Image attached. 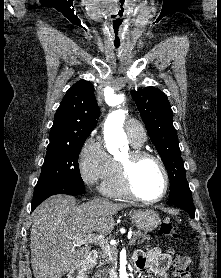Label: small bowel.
<instances>
[{
	"label": "small bowel",
	"instance_id": "c3829d8e",
	"mask_svg": "<svg viewBox=\"0 0 221 278\" xmlns=\"http://www.w3.org/2000/svg\"><path fill=\"white\" fill-rule=\"evenodd\" d=\"M133 259L138 270H149L156 278H168L167 271L173 261V253H163L158 248H153L146 253L135 252Z\"/></svg>",
	"mask_w": 221,
	"mask_h": 278
}]
</instances>
